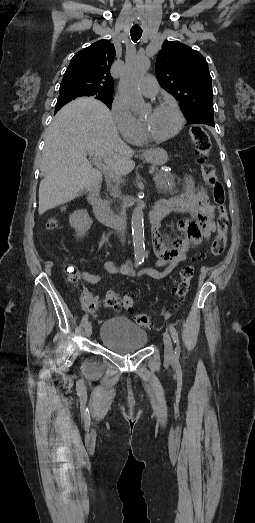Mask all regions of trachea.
Listing matches in <instances>:
<instances>
[{
    "label": "trachea",
    "instance_id": "obj_1",
    "mask_svg": "<svg viewBox=\"0 0 255 523\" xmlns=\"http://www.w3.org/2000/svg\"><path fill=\"white\" fill-rule=\"evenodd\" d=\"M130 35L134 43H136L142 36V28L132 27L130 30Z\"/></svg>",
    "mask_w": 255,
    "mask_h": 523
}]
</instances>
